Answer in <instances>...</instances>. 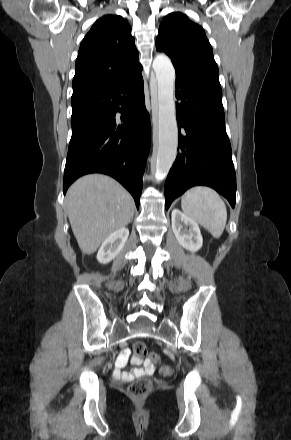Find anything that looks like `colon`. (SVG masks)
<instances>
[{
	"instance_id": "colon-1",
	"label": "colon",
	"mask_w": 291,
	"mask_h": 440,
	"mask_svg": "<svg viewBox=\"0 0 291 440\" xmlns=\"http://www.w3.org/2000/svg\"><path fill=\"white\" fill-rule=\"evenodd\" d=\"M133 352L135 359H142L146 356H149L151 359L158 361V358L155 354H149L146 344L142 341H137L133 345ZM169 368L166 366H161L160 372L162 374L168 373ZM151 390V383L146 379L140 378L133 381L128 387V393L130 397L136 400H141L145 398Z\"/></svg>"
}]
</instances>
